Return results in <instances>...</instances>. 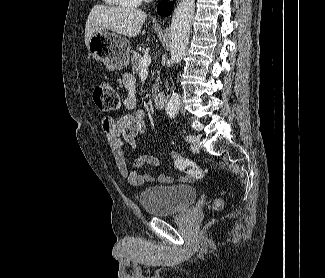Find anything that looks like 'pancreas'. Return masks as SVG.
I'll list each match as a JSON object with an SVG mask.
<instances>
[{"mask_svg": "<svg viewBox=\"0 0 325 278\" xmlns=\"http://www.w3.org/2000/svg\"><path fill=\"white\" fill-rule=\"evenodd\" d=\"M141 58H142L141 54H139L136 51H133L132 58H131V65H132L133 73H138V71L140 70V60H141ZM156 82H157V84H155L153 86V93H155L157 88H158V79L156 80Z\"/></svg>", "mask_w": 325, "mask_h": 278, "instance_id": "cf45deb5", "label": "pancreas"}]
</instances>
